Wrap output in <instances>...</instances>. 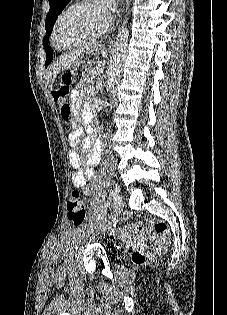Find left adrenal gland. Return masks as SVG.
Instances as JSON below:
<instances>
[{"label":"left adrenal gland","mask_w":227,"mask_h":315,"mask_svg":"<svg viewBox=\"0 0 227 315\" xmlns=\"http://www.w3.org/2000/svg\"><path fill=\"white\" fill-rule=\"evenodd\" d=\"M99 90L102 92L101 79H98V82H97V85H96V93H97Z\"/></svg>","instance_id":"1"}]
</instances>
